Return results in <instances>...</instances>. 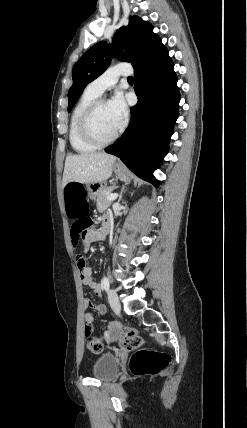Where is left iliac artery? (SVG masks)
Returning a JSON list of instances; mask_svg holds the SVG:
<instances>
[{
    "instance_id": "44dca946",
    "label": "left iliac artery",
    "mask_w": 247,
    "mask_h": 428,
    "mask_svg": "<svg viewBox=\"0 0 247 428\" xmlns=\"http://www.w3.org/2000/svg\"><path fill=\"white\" fill-rule=\"evenodd\" d=\"M102 284H103V288L105 289V291H108L110 283H109V279L107 277H104Z\"/></svg>"
}]
</instances>
